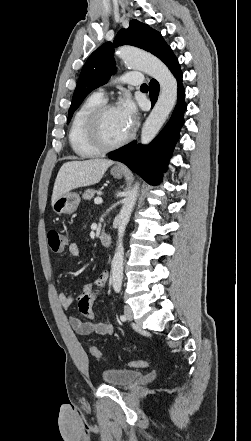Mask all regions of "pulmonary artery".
Wrapping results in <instances>:
<instances>
[{
  "mask_svg": "<svg viewBox=\"0 0 251 441\" xmlns=\"http://www.w3.org/2000/svg\"><path fill=\"white\" fill-rule=\"evenodd\" d=\"M121 81L131 85H141L143 82V77L139 72H127L124 75H122ZM96 94L104 98L103 88H99Z\"/></svg>",
  "mask_w": 251,
  "mask_h": 441,
  "instance_id": "e3ab8cb5",
  "label": "pulmonary artery"
}]
</instances>
